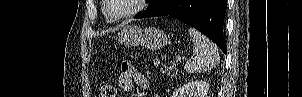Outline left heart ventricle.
Listing matches in <instances>:
<instances>
[{"label":"left heart ventricle","mask_w":302,"mask_h":97,"mask_svg":"<svg viewBox=\"0 0 302 97\" xmlns=\"http://www.w3.org/2000/svg\"><path fill=\"white\" fill-rule=\"evenodd\" d=\"M135 6V0H109L110 11L115 15H122Z\"/></svg>","instance_id":"left-heart-ventricle-1"}]
</instances>
